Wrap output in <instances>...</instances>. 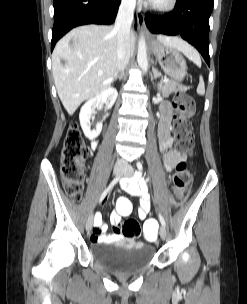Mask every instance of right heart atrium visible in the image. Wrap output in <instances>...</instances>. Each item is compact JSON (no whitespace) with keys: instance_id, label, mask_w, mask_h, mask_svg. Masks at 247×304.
Returning <instances> with one entry per match:
<instances>
[{"instance_id":"1","label":"right heart atrium","mask_w":247,"mask_h":304,"mask_svg":"<svg viewBox=\"0 0 247 304\" xmlns=\"http://www.w3.org/2000/svg\"><path fill=\"white\" fill-rule=\"evenodd\" d=\"M136 0H122L125 5L132 6L135 4Z\"/></svg>"}]
</instances>
